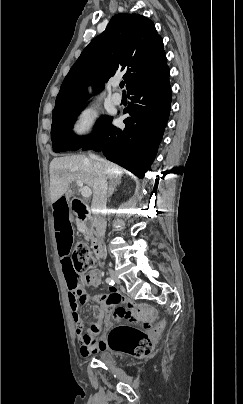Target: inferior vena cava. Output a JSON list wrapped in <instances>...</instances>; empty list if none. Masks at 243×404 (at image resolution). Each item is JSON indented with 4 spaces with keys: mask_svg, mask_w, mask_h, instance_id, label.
<instances>
[{
    "mask_svg": "<svg viewBox=\"0 0 243 404\" xmlns=\"http://www.w3.org/2000/svg\"><path fill=\"white\" fill-rule=\"evenodd\" d=\"M90 158L94 160V166H93L94 194L92 200V212H93L94 224L98 238H104L106 232L105 212L107 202V178L104 174L101 162H98L97 156H94V154H90ZM108 272L112 273L113 269L109 268Z\"/></svg>",
    "mask_w": 243,
    "mask_h": 404,
    "instance_id": "602c4592",
    "label": "inferior vena cava"
}]
</instances>
